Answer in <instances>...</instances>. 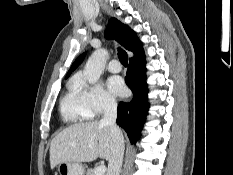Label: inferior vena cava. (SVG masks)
Returning <instances> with one entry per match:
<instances>
[{"label": "inferior vena cava", "instance_id": "602c4592", "mask_svg": "<svg viewBox=\"0 0 233 175\" xmlns=\"http://www.w3.org/2000/svg\"><path fill=\"white\" fill-rule=\"evenodd\" d=\"M117 103L114 99H107L104 106V115L100 123L108 125L111 130L112 148L108 163L107 175H120L123 155L124 138L121 130L116 124Z\"/></svg>", "mask_w": 233, "mask_h": 175}]
</instances>
